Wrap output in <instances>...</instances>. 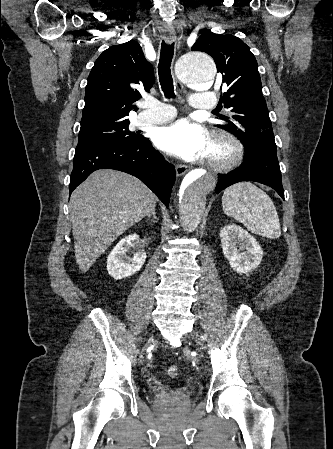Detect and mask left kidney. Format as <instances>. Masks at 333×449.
<instances>
[{
    "instance_id": "5707ae66",
    "label": "left kidney",
    "mask_w": 333,
    "mask_h": 449,
    "mask_svg": "<svg viewBox=\"0 0 333 449\" xmlns=\"http://www.w3.org/2000/svg\"><path fill=\"white\" fill-rule=\"evenodd\" d=\"M220 238L223 254L236 272L245 274L260 264L263 258L260 245L240 226H225L221 230Z\"/></svg>"
}]
</instances>
